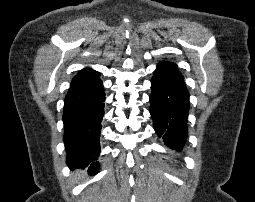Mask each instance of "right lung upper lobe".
Instances as JSON below:
<instances>
[{"mask_svg": "<svg viewBox=\"0 0 255 202\" xmlns=\"http://www.w3.org/2000/svg\"><path fill=\"white\" fill-rule=\"evenodd\" d=\"M99 73L92 69L81 70L72 80L71 86L88 83L99 78Z\"/></svg>", "mask_w": 255, "mask_h": 202, "instance_id": "right-lung-upper-lobe-1", "label": "right lung upper lobe"}]
</instances>
